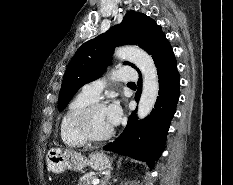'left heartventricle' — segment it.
<instances>
[{"label":"left heart ventricle","mask_w":233,"mask_h":185,"mask_svg":"<svg viewBox=\"0 0 233 185\" xmlns=\"http://www.w3.org/2000/svg\"><path fill=\"white\" fill-rule=\"evenodd\" d=\"M89 127L91 133L95 136H103L112 129L106 108H97L92 112L89 118Z\"/></svg>","instance_id":"b2bd125f"}]
</instances>
